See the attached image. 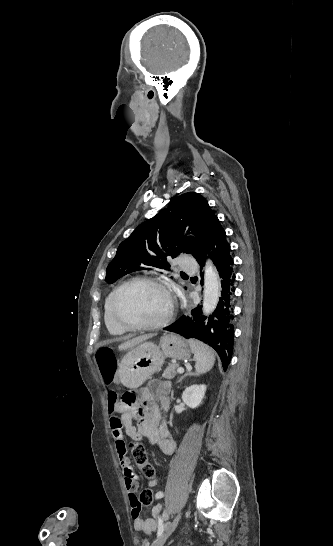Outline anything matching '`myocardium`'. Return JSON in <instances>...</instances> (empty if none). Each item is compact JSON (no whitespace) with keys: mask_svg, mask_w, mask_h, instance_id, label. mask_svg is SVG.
<instances>
[{"mask_svg":"<svg viewBox=\"0 0 333 546\" xmlns=\"http://www.w3.org/2000/svg\"><path fill=\"white\" fill-rule=\"evenodd\" d=\"M134 283H149V284L156 285L160 287L162 290H164V292L167 294L169 298L170 308L168 313L163 319L153 323H130L121 317L118 311L120 295L126 287ZM175 312H176V301L170 289L168 288L167 284L163 280L153 276H135L124 281L116 288L112 297V302H111V313H112V317L114 321L116 322L118 326H120L126 331H149V330H157V329L164 328L171 323V321L174 318Z\"/></svg>","mask_w":333,"mask_h":546,"instance_id":"1","label":"myocardium"}]
</instances>
